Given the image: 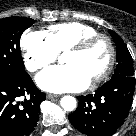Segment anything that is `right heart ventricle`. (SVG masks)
Instances as JSON below:
<instances>
[{
  "instance_id": "1",
  "label": "right heart ventricle",
  "mask_w": 136,
  "mask_h": 136,
  "mask_svg": "<svg viewBox=\"0 0 136 136\" xmlns=\"http://www.w3.org/2000/svg\"><path fill=\"white\" fill-rule=\"evenodd\" d=\"M97 33L98 30L91 25L72 21L49 26L46 35L60 53L66 52L81 39Z\"/></svg>"
}]
</instances>
